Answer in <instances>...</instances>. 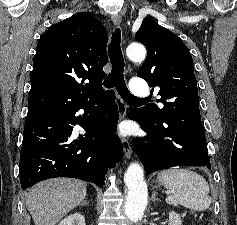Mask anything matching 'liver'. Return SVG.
Returning <instances> with one entry per match:
<instances>
[{
	"label": "liver",
	"mask_w": 237,
	"mask_h": 225,
	"mask_svg": "<svg viewBox=\"0 0 237 225\" xmlns=\"http://www.w3.org/2000/svg\"><path fill=\"white\" fill-rule=\"evenodd\" d=\"M87 194L85 182L70 178H53L37 183L26 194V208L35 225H56Z\"/></svg>",
	"instance_id": "6515ba94"
}]
</instances>
